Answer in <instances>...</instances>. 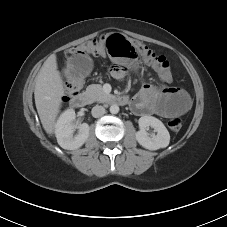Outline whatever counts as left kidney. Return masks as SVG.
I'll use <instances>...</instances> for the list:
<instances>
[{"label":"left kidney","instance_id":"1","mask_svg":"<svg viewBox=\"0 0 227 227\" xmlns=\"http://www.w3.org/2000/svg\"><path fill=\"white\" fill-rule=\"evenodd\" d=\"M140 130L136 132V140L146 149L158 150L169 145L170 134L164 124L153 116H142L139 120ZM152 127L156 135L149 136L147 128Z\"/></svg>","mask_w":227,"mask_h":227}]
</instances>
